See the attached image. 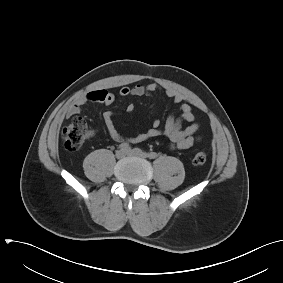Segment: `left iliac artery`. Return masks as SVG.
<instances>
[{
	"label": "left iliac artery",
	"mask_w": 283,
	"mask_h": 283,
	"mask_svg": "<svg viewBox=\"0 0 283 283\" xmlns=\"http://www.w3.org/2000/svg\"><path fill=\"white\" fill-rule=\"evenodd\" d=\"M145 154L150 159H155L158 156L157 153H155V152H148V153H145Z\"/></svg>",
	"instance_id": "44dca946"
}]
</instances>
